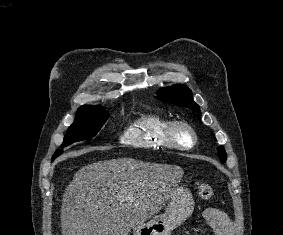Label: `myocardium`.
<instances>
[{"instance_id": "obj_1", "label": "myocardium", "mask_w": 283, "mask_h": 235, "mask_svg": "<svg viewBox=\"0 0 283 235\" xmlns=\"http://www.w3.org/2000/svg\"><path fill=\"white\" fill-rule=\"evenodd\" d=\"M187 134L190 136V142L184 144L179 140L180 134ZM168 142L173 148L181 150H189L197 143V135L194 128L186 121L174 120L171 121L166 130Z\"/></svg>"}]
</instances>
